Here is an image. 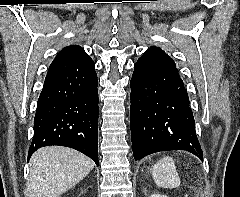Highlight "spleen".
Listing matches in <instances>:
<instances>
[{"label":"spleen","instance_id":"spleen-1","mask_svg":"<svg viewBox=\"0 0 240 197\" xmlns=\"http://www.w3.org/2000/svg\"><path fill=\"white\" fill-rule=\"evenodd\" d=\"M152 177L158 187L174 188L180 185L174 161L167 156L159 160L151 169Z\"/></svg>","mask_w":240,"mask_h":197}]
</instances>
